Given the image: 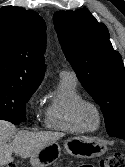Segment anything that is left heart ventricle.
I'll return each instance as SVG.
<instances>
[{
	"instance_id": "1",
	"label": "left heart ventricle",
	"mask_w": 125,
	"mask_h": 167,
	"mask_svg": "<svg viewBox=\"0 0 125 167\" xmlns=\"http://www.w3.org/2000/svg\"><path fill=\"white\" fill-rule=\"evenodd\" d=\"M83 120L86 126L94 128L97 125V116L93 109L86 108L83 113Z\"/></svg>"
}]
</instances>
